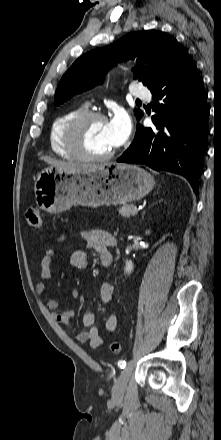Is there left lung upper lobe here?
I'll return each instance as SVG.
<instances>
[{"instance_id":"1","label":"left lung upper lobe","mask_w":221,"mask_h":440,"mask_svg":"<svg viewBox=\"0 0 221 440\" xmlns=\"http://www.w3.org/2000/svg\"><path fill=\"white\" fill-rule=\"evenodd\" d=\"M183 49L172 36L161 31H136L123 36L115 43L92 50L80 58L61 78L54 102L60 105L75 94L102 82L104 75L116 62L137 57L133 68L134 79L148 88L161 76ZM140 119L143 112L135 109Z\"/></svg>"}]
</instances>
